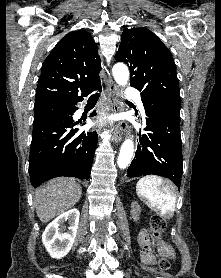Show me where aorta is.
<instances>
[{
	"label": "aorta",
	"mask_w": 221,
	"mask_h": 278,
	"mask_svg": "<svg viewBox=\"0 0 221 278\" xmlns=\"http://www.w3.org/2000/svg\"><path fill=\"white\" fill-rule=\"evenodd\" d=\"M112 72L115 81L119 85L125 86L127 84L129 79V71L124 63H116L113 66ZM133 152L134 144L132 139H126L120 148L119 156L117 159V164L119 168L124 169L130 164Z\"/></svg>",
	"instance_id": "obj_1"
}]
</instances>
